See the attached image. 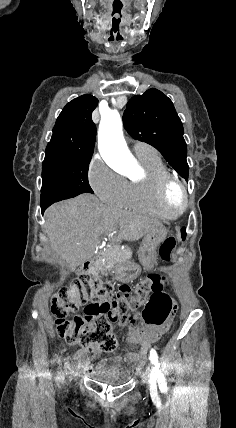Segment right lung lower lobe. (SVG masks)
I'll return each mask as SVG.
<instances>
[{
  "instance_id": "1",
  "label": "right lung lower lobe",
  "mask_w": 236,
  "mask_h": 428,
  "mask_svg": "<svg viewBox=\"0 0 236 428\" xmlns=\"http://www.w3.org/2000/svg\"><path fill=\"white\" fill-rule=\"evenodd\" d=\"M51 204H45V205H41V212H42V215H43V213H44V211L50 206Z\"/></svg>"
}]
</instances>
